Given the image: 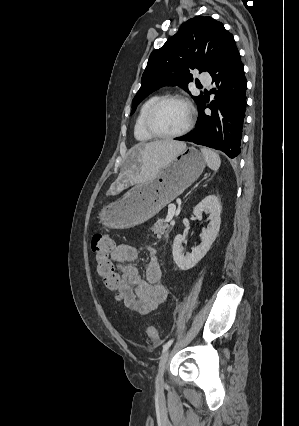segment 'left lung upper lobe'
<instances>
[{"mask_svg": "<svg viewBox=\"0 0 299 426\" xmlns=\"http://www.w3.org/2000/svg\"><path fill=\"white\" fill-rule=\"evenodd\" d=\"M235 50L234 37L221 22L208 16L186 21L161 48L151 53L141 87L132 101L131 114L141 100L160 87L178 85L187 91L188 83L193 81V69L211 73ZM193 98L199 105L204 97Z\"/></svg>", "mask_w": 299, "mask_h": 426, "instance_id": "obj_1", "label": "left lung upper lobe"}]
</instances>
